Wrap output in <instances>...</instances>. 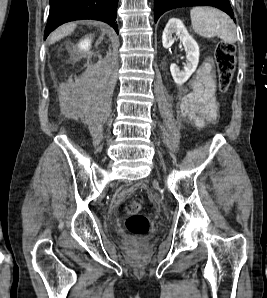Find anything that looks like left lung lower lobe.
I'll use <instances>...</instances> for the list:
<instances>
[{
  "mask_svg": "<svg viewBox=\"0 0 267 298\" xmlns=\"http://www.w3.org/2000/svg\"><path fill=\"white\" fill-rule=\"evenodd\" d=\"M208 5L219 8L226 12L234 19L233 10L229 0H154V19L157 22L158 18L166 11L179 7Z\"/></svg>",
  "mask_w": 267,
  "mask_h": 298,
  "instance_id": "1",
  "label": "left lung lower lobe"
}]
</instances>
